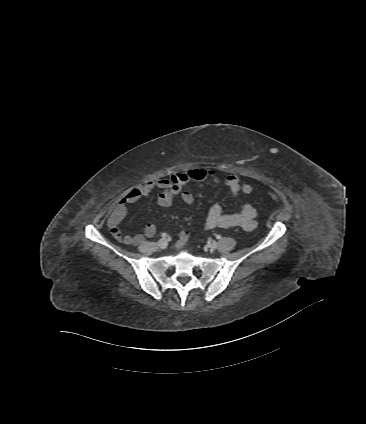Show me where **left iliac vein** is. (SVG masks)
Returning <instances> with one entry per match:
<instances>
[{
	"label": "left iliac vein",
	"instance_id": "4c4485c4",
	"mask_svg": "<svg viewBox=\"0 0 366 424\" xmlns=\"http://www.w3.org/2000/svg\"><path fill=\"white\" fill-rule=\"evenodd\" d=\"M218 247V243L216 241H211L209 244V248L211 250H215Z\"/></svg>",
	"mask_w": 366,
	"mask_h": 424
}]
</instances>
